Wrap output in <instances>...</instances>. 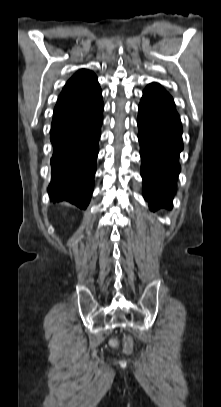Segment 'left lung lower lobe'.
Returning a JSON list of instances; mask_svg holds the SVG:
<instances>
[{"label": "left lung lower lobe", "mask_w": 221, "mask_h": 407, "mask_svg": "<svg viewBox=\"0 0 221 407\" xmlns=\"http://www.w3.org/2000/svg\"><path fill=\"white\" fill-rule=\"evenodd\" d=\"M137 123L144 198L152 210L170 208L180 173L182 126L173 98L160 84L143 91Z\"/></svg>", "instance_id": "1"}]
</instances>
